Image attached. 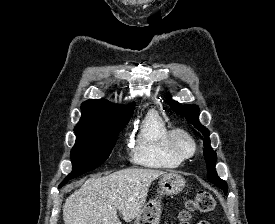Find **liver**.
Wrapping results in <instances>:
<instances>
[{"label":"liver","instance_id":"liver-1","mask_svg":"<svg viewBox=\"0 0 275 224\" xmlns=\"http://www.w3.org/2000/svg\"><path fill=\"white\" fill-rule=\"evenodd\" d=\"M163 171L130 168L89 178L63 205L65 224H122L117 216L130 222L141 212L151 183Z\"/></svg>","mask_w":275,"mask_h":224}]
</instances>
